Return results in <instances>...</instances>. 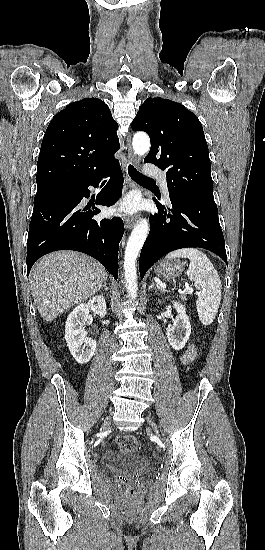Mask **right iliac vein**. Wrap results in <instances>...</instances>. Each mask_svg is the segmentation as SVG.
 I'll return each instance as SVG.
<instances>
[{"mask_svg":"<svg viewBox=\"0 0 265 550\" xmlns=\"http://www.w3.org/2000/svg\"><path fill=\"white\" fill-rule=\"evenodd\" d=\"M110 422H111V417H108V418L106 419V421H105V425H109Z\"/></svg>","mask_w":265,"mask_h":550,"instance_id":"1","label":"right iliac vein"}]
</instances>
